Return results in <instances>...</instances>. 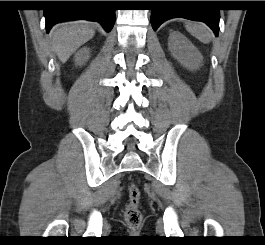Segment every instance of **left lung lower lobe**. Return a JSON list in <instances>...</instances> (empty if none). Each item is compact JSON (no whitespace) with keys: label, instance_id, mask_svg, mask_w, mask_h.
I'll return each instance as SVG.
<instances>
[{"label":"left lung lower lobe","instance_id":"0a47b994","mask_svg":"<svg viewBox=\"0 0 265 245\" xmlns=\"http://www.w3.org/2000/svg\"><path fill=\"white\" fill-rule=\"evenodd\" d=\"M211 1H164L162 7L151 12V23L154 31L166 20L181 17L205 22L218 35L220 12L216 8H194L211 6Z\"/></svg>","mask_w":265,"mask_h":245}]
</instances>
